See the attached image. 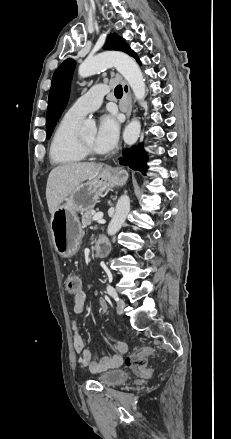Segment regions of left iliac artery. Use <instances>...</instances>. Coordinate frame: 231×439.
Returning <instances> with one entry per match:
<instances>
[{
  "mask_svg": "<svg viewBox=\"0 0 231 439\" xmlns=\"http://www.w3.org/2000/svg\"><path fill=\"white\" fill-rule=\"evenodd\" d=\"M107 292L113 299H115V300L118 299L116 290L112 286H110V285L107 286Z\"/></svg>",
  "mask_w": 231,
  "mask_h": 439,
  "instance_id": "left-iliac-artery-1",
  "label": "left iliac artery"
}]
</instances>
